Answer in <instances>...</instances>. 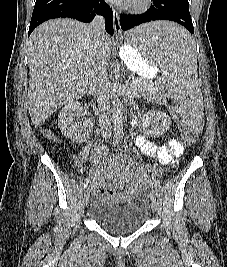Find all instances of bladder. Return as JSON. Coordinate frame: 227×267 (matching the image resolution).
<instances>
[{"label":"bladder","mask_w":227,"mask_h":267,"mask_svg":"<svg viewBox=\"0 0 227 267\" xmlns=\"http://www.w3.org/2000/svg\"><path fill=\"white\" fill-rule=\"evenodd\" d=\"M89 216L106 231L124 235L139 229L149 218L150 209L143 195L136 194L117 200H96Z\"/></svg>","instance_id":"obj_1"}]
</instances>
